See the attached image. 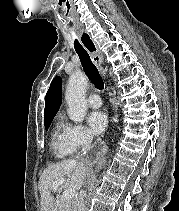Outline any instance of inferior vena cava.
Returning a JSON list of instances; mask_svg holds the SVG:
<instances>
[{"mask_svg":"<svg viewBox=\"0 0 179 211\" xmlns=\"http://www.w3.org/2000/svg\"><path fill=\"white\" fill-rule=\"evenodd\" d=\"M91 139H92L91 136H88L86 138V146L91 142ZM78 211H86L84 204V194L81 195Z\"/></svg>","mask_w":179,"mask_h":211,"instance_id":"obj_1","label":"inferior vena cava"}]
</instances>
